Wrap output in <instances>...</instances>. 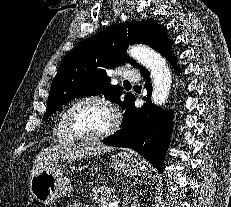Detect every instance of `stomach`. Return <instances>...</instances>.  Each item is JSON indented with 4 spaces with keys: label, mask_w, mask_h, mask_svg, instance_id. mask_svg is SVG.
I'll return each mask as SVG.
<instances>
[{
    "label": "stomach",
    "mask_w": 231,
    "mask_h": 207,
    "mask_svg": "<svg viewBox=\"0 0 231 207\" xmlns=\"http://www.w3.org/2000/svg\"><path fill=\"white\" fill-rule=\"evenodd\" d=\"M110 167L124 175L141 176L146 165L128 152L113 156ZM67 164L58 163L50 168L37 171L30 179L29 189L32 196L44 205L54 203L58 198L73 192V185L66 176Z\"/></svg>",
    "instance_id": "0dacf381"
}]
</instances>
